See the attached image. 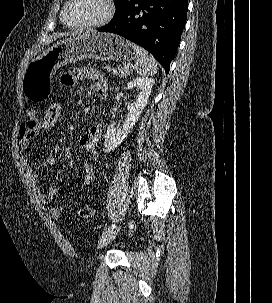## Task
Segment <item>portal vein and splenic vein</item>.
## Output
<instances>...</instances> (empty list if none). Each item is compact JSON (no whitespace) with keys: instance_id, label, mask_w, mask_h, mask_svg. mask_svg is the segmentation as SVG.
Listing matches in <instances>:
<instances>
[{"instance_id":"obj_1","label":"portal vein and splenic vein","mask_w":272,"mask_h":303,"mask_svg":"<svg viewBox=\"0 0 272 303\" xmlns=\"http://www.w3.org/2000/svg\"><path fill=\"white\" fill-rule=\"evenodd\" d=\"M129 65H124V69H129Z\"/></svg>"}]
</instances>
